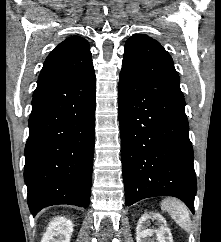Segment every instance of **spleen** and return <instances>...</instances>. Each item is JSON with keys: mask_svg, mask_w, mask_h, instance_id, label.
Instances as JSON below:
<instances>
[{"mask_svg": "<svg viewBox=\"0 0 221 242\" xmlns=\"http://www.w3.org/2000/svg\"><path fill=\"white\" fill-rule=\"evenodd\" d=\"M161 209L169 213L174 221L186 232L191 230V219L186 205L178 199L167 198L161 202Z\"/></svg>", "mask_w": 221, "mask_h": 242, "instance_id": "3e777b00", "label": "spleen"}]
</instances>
